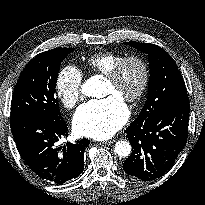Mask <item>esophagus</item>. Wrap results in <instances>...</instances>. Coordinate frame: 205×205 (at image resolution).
Returning a JSON list of instances; mask_svg holds the SVG:
<instances>
[{"instance_id": "esophagus-1", "label": "esophagus", "mask_w": 205, "mask_h": 205, "mask_svg": "<svg viewBox=\"0 0 205 205\" xmlns=\"http://www.w3.org/2000/svg\"><path fill=\"white\" fill-rule=\"evenodd\" d=\"M115 142V140L114 139H111V140H107V141H104V142H102L103 144H106V145H111V144H113Z\"/></svg>"}]
</instances>
